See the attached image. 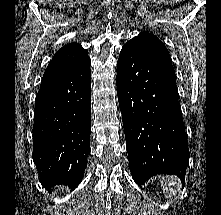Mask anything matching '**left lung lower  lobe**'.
<instances>
[{
    "label": "left lung lower lobe",
    "mask_w": 221,
    "mask_h": 215,
    "mask_svg": "<svg viewBox=\"0 0 221 215\" xmlns=\"http://www.w3.org/2000/svg\"><path fill=\"white\" fill-rule=\"evenodd\" d=\"M175 72L125 44L117 61V95L134 181L157 174L182 181L189 164Z\"/></svg>",
    "instance_id": "1"
}]
</instances>
